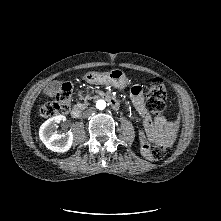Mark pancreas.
<instances>
[{
    "instance_id": "pancreas-1",
    "label": "pancreas",
    "mask_w": 221,
    "mask_h": 221,
    "mask_svg": "<svg viewBox=\"0 0 221 221\" xmlns=\"http://www.w3.org/2000/svg\"><path fill=\"white\" fill-rule=\"evenodd\" d=\"M81 99H83L86 102L88 99H90V96H86V97L81 96ZM78 106L84 107V106H86V103H84V104L78 103Z\"/></svg>"
}]
</instances>
